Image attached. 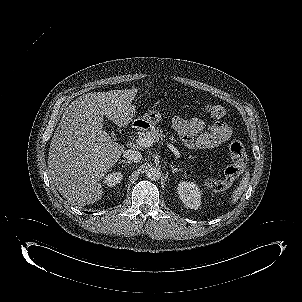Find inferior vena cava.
Listing matches in <instances>:
<instances>
[{"mask_svg":"<svg viewBox=\"0 0 302 302\" xmlns=\"http://www.w3.org/2000/svg\"><path fill=\"white\" fill-rule=\"evenodd\" d=\"M123 156L130 162L137 163L141 161L142 154L139 151L133 149H127L123 151Z\"/></svg>","mask_w":302,"mask_h":302,"instance_id":"inferior-vena-cava-1","label":"inferior vena cava"}]
</instances>
